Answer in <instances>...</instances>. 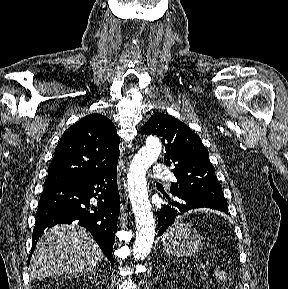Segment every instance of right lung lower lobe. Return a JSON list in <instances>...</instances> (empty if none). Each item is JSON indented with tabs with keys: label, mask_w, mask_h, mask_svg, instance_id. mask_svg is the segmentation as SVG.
<instances>
[{
	"label": "right lung lower lobe",
	"mask_w": 288,
	"mask_h": 289,
	"mask_svg": "<svg viewBox=\"0 0 288 289\" xmlns=\"http://www.w3.org/2000/svg\"><path fill=\"white\" fill-rule=\"evenodd\" d=\"M93 197L97 199L95 204L90 201ZM119 208L117 164L91 175L45 185L36 212L33 250L46 228L77 222L92 233L105 256L114 265L112 248Z\"/></svg>",
	"instance_id": "obj_1"
}]
</instances>
